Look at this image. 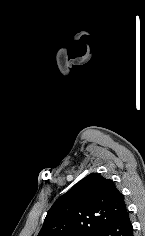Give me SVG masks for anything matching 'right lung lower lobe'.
<instances>
[{
    "instance_id": "1",
    "label": "right lung lower lobe",
    "mask_w": 145,
    "mask_h": 236,
    "mask_svg": "<svg viewBox=\"0 0 145 236\" xmlns=\"http://www.w3.org/2000/svg\"><path fill=\"white\" fill-rule=\"evenodd\" d=\"M95 236H133V227L128 210L126 209Z\"/></svg>"
}]
</instances>
